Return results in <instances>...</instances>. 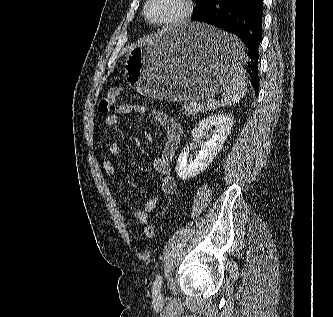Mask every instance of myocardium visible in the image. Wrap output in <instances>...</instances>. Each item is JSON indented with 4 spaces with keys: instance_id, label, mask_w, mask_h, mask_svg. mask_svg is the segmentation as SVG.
<instances>
[{
    "instance_id": "obj_1",
    "label": "myocardium",
    "mask_w": 333,
    "mask_h": 317,
    "mask_svg": "<svg viewBox=\"0 0 333 317\" xmlns=\"http://www.w3.org/2000/svg\"><path fill=\"white\" fill-rule=\"evenodd\" d=\"M152 2L153 0H146L143 6V16L145 20L151 25L163 26V27H176L184 23L191 16L193 12L192 0H177L179 4V10L174 16L166 19H157L149 14V6Z\"/></svg>"
}]
</instances>
